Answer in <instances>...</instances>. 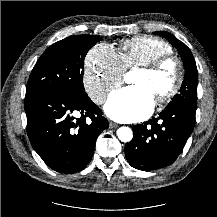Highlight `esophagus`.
Returning a JSON list of instances; mask_svg holds the SVG:
<instances>
[{
  "label": "esophagus",
  "instance_id": "obj_1",
  "mask_svg": "<svg viewBox=\"0 0 217 217\" xmlns=\"http://www.w3.org/2000/svg\"><path fill=\"white\" fill-rule=\"evenodd\" d=\"M118 125L114 122H109V127L112 129V128H115L117 127Z\"/></svg>",
  "mask_w": 217,
  "mask_h": 217
}]
</instances>
